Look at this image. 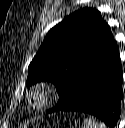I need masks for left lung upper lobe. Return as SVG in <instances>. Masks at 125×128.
<instances>
[{"instance_id": "left-lung-upper-lobe-1", "label": "left lung upper lobe", "mask_w": 125, "mask_h": 128, "mask_svg": "<svg viewBox=\"0 0 125 128\" xmlns=\"http://www.w3.org/2000/svg\"><path fill=\"white\" fill-rule=\"evenodd\" d=\"M116 44L109 25L93 8L65 17L46 35L28 68L27 86L51 81L59 101L49 112L69 104L88 71Z\"/></svg>"}]
</instances>
